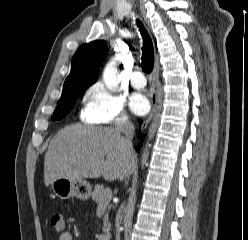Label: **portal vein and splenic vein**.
Returning a JSON list of instances; mask_svg holds the SVG:
<instances>
[{
  "mask_svg": "<svg viewBox=\"0 0 248 240\" xmlns=\"http://www.w3.org/2000/svg\"><path fill=\"white\" fill-rule=\"evenodd\" d=\"M106 192L108 195H112L111 189L110 188H106ZM100 207H103V205H101Z\"/></svg>",
  "mask_w": 248,
  "mask_h": 240,
  "instance_id": "portal-vein-and-splenic-vein-1",
  "label": "portal vein and splenic vein"
}]
</instances>
